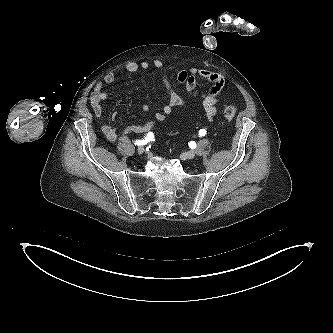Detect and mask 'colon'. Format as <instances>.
Masks as SVG:
<instances>
[{"instance_id": "1", "label": "colon", "mask_w": 333, "mask_h": 333, "mask_svg": "<svg viewBox=\"0 0 333 333\" xmlns=\"http://www.w3.org/2000/svg\"><path fill=\"white\" fill-rule=\"evenodd\" d=\"M236 108L232 105H226L223 110V116L226 120H232L236 115Z\"/></svg>"}]
</instances>
